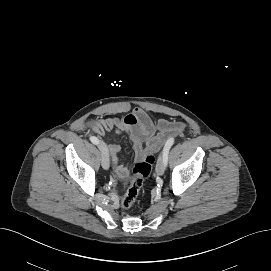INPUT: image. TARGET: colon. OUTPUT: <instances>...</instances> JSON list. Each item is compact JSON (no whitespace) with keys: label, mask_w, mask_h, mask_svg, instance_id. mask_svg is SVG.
<instances>
[{"label":"colon","mask_w":271,"mask_h":271,"mask_svg":"<svg viewBox=\"0 0 271 271\" xmlns=\"http://www.w3.org/2000/svg\"><path fill=\"white\" fill-rule=\"evenodd\" d=\"M154 161V156L149 154L135 164L131 184L121 200V207L123 209L128 210L132 208L136 202L144 181L150 175Z\"/></svg>","instance_id":"obj_1"}]
</instances>
